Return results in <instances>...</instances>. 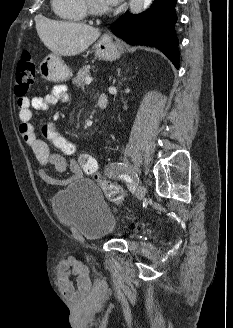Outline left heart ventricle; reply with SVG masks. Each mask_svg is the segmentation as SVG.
<instances>
[{
	"mask_svg": "<svg viewBox=\"0 0 233 328\" xmlns=\"http://www.w3.org/2000/svg\"><path fill=\"white\" fill-rule=\"evenodd\" d=\"M95 3L101 7H106L103 3H101L99 0H94Z\"/></svg>",
	"mask_w": 233,
	"mask_h": 328,
	"instance_id": "obj_1",
	"label": "left heart ventricle"
}]
</instances>
